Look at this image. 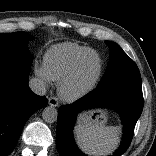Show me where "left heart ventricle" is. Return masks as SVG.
Returning a JSON list of instances; mask_svg holds the SVG:
<instances>
[{"mask_svg":"<svg viewBox=\"0 0 156 156\" xmlns=\"http://www.w3.org/2000/svg\"><path fill=\"white\" fill-rule=\"evenodd\" d=\"M97 72L98 59L95 56H89L81 67L80 73L73 84V89L78 90L89 85L96 77Z\"/></svg>","mask_w":156,"mask_h":156,"instance_id":"left-heart-ventricle-1","label":"left heart ventricle"}]
</instances>
